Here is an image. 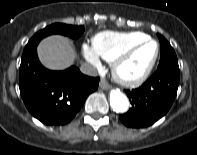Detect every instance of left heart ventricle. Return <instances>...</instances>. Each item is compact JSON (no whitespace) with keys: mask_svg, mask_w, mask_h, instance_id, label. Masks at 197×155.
I'll use <instances>...</instances> for the list:
<instances>
[{"mask_svg":"<svg viewBox=\"0 0 197 155\" xmlns=\"http://www.w3.org/2000/svg\"><path fill=\"white\" fill-rule=\"evenodd\" d=\"M155 52V45L147 43L140 47L123 65L122 72L127 76L140 74L149 64Z\"/></svg>","mask_w":197,"mask_h":155,"instance_id":"1","label":"left heart ventricle"}]
</instances>
